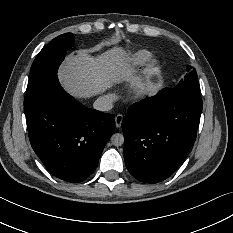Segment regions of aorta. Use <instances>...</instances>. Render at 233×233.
<instances>
[{
  "mask_svg": "<svg viewBox=\"0 0 233 233\" xmlns=\"http://www.w3.org/2000/svg\"><path fill=\"white\" fill-rule=\"evenodd\" d=\"M111 143L114 146H121L124 143V137L120 133H115L111 137Z\"/></svg>",
  "mask_w": 233,
  "mask_h": 233,
  "instance_id": "aorta-1",
  "label": "aorta"
}]
</instances>
